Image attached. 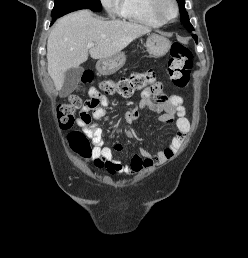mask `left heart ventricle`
Here are the masks:
<instances>
[{"label": "left heart ventricle", "instance_id": "left-heart-ventricle-1", "mask_svg": "<svg viewBox=\"0 0 248 258\" xmlns=\"http://www.w3.org/2000/svg\"><path fill=\"white\" fill-rule=\"evenodd\" d=\"M161 11L166 16H172L174 14L173 6L168 1H164L161 3Z\"/></svg>", "mask_w": 248, "mask_h": 258}]
</instances>
